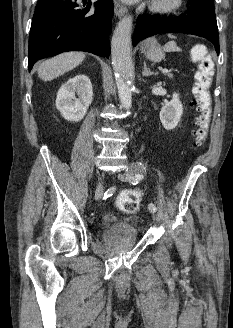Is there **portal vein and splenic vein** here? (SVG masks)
I'll list each match as a JSON object with an SVG mask.
<instances>
[{
    "label": "portal vein and splenic vein",
    "mask_w": 233,
    "mask_h": 328,
    "mask_svg": "<svg viewBox=\"0 0 233 328\" xmlns=\"http://www.w3.org/2000/svg\"><path fill=\"white\" fill-rule=\"evenodd\" d=\"M161 72H162V73H168L169 70H168V69H162Z\"/></svg>",
    "instance_id": "1"
}]
</instances>
